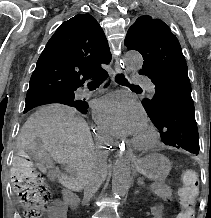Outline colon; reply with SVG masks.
I'll return each mask as SVG.
<instances>
[{
  "mask_svg": "<svg viewBox=\"0 0 211 218\" xmlns=\"http://www.w3.org/2000/svg\"><path fill=\"white\" fill-rule=\"evenodd\" d=\"M11 180L18 202L27 218H39L46 209L50 191L32 159L24 152L16 154L11 170ZM198 174L187 169L181 175L179 200L181 211L175 218H194L198 195Z\"/></svg>",
  "mask_w": 211,
  "mask_h": 218,
  "instance_id": "colon-1",
  "label": "colon"
}]
</instances>
